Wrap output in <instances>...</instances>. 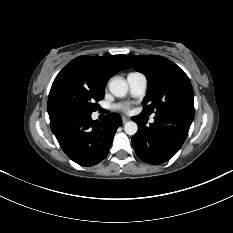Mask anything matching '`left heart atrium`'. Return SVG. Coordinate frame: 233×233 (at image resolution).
Instances as JSON below:
<instances>
[{
  "label": "left heart atrium",
  "mask_w": 233,
  "mask_h": 233,
  "mask_svg": "<svg viewBox=\"0 0 233 233\" xmlns=\"http://www.w3.org/2000/svg\"><path fill=\"white\" fill-rule=\"evenodd\" d=\"M117 108L122 110V111H128L129 110V106H127V105H119Z\"/></svg>",
  "instance_id": "left-heart-atrium-1"
}]
</instances>
